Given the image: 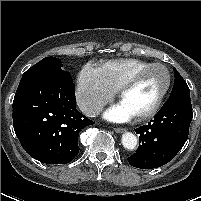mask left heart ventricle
Segmentation results:
<instances>
[{"instance_id": "1", "label": "left heart ventricle", "mask_w": 201, "mask_h": 201, "mask_svg": "<svg viewBox=\"0 0 201 201\" xmlns=\"http://www.w3.org/2000/svg\"><path fill=\"white\" fill-rule=\"evenodd\" d=\"M165 84L164 69L153 68L124 94L121 103L133 116L141 114L155 103Z\"/></svg>"}]
</instances>
